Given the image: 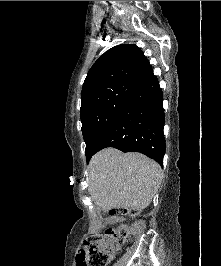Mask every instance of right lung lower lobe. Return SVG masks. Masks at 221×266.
Listing matches in <instances>:
<instances>
[{"label":"right lung lower lobe","instance_id":"obj_1","mask_svg":"<svg viewBox=\"0 0 221 266\" xmlns=\"http://www.w3.org/2000/svg\"><path fill=\"white\" fill-rule=\"evenodd\" d=\"M164 121L163 94L153 77L131 97L92 155L103 148L115 147L123 152L143 153L163 166Z\"/></svg>","mask_w":221,"mask_h":266}]
</instances>
